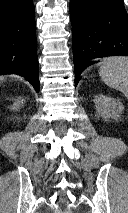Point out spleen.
Listing matches in <instances>:
<instances>
[{"instance_id": "1", "label": "spleen", "mask_w": 128, "mask_h": 213, "mask_svg": "<svg viewBox=\"0 0 128 213\" xmlns=\"http://www.w3.org/2000/svg\"><path fill=\"white\" fill-rule=\"evenodd\" d=\"M99 75L106 85L121 91L128 98V58L104 59L101 62Z\"/></svg>"}]
</instances>
